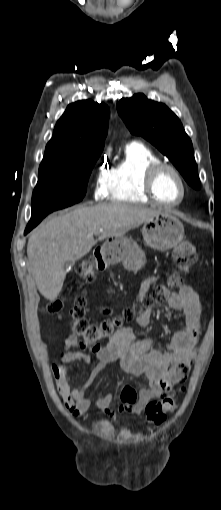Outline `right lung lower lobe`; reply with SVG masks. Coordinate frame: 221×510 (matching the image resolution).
I'll use <instances>...</instances> for the list:
<instances>
[{
    "label": "right lung lower lobe",
    "mask_w": 221,
    "mask_h": 510,
    "mask_svg": "<svg viewBox=\"0 0 221 510\" xmlns=\"http://www.w3.org/2000/svg\"><path fill=\"white\" fill-rule=\"evenodd\" d=\"M51 212H37V211H34L32 210V216H31V220L30 222L28 223L26 229H25V232L24 234H27L30 230H32L36 225H38L41 220Z\"/></svg>",
    "instance_id": "obj_1"
}]
</instances>
